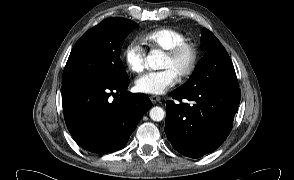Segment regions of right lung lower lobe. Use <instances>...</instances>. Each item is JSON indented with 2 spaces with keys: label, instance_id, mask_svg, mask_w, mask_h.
<instances>
[{
  "label": "right lung lower lobe",
  "instance_id": "98d812e1",
  "mask_svg": "<svg viewBox=\"0 0 294 180\" xmlns=\"http://www.w3.org/2000/svg\"><path fill=\"white\" fill-rule=\"evenodd\" d=\"M129 80H85L62 85L67 128L84 149L105 154L123 147L152 103L145 94L127 91ZM120 94V97H119ZM111 95L119 97L112 100Z\"/></svg>",
  "mask_w": 294,
  "mask_h": 180
}]
</instances>
